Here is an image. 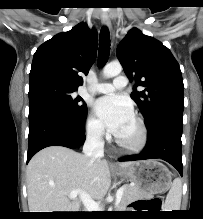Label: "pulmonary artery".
<instances>
[{"label": "pulmonary artery", "instance_id": "e3ab8cb5", "mask_svg": "<svg viewBox=\"0 0 203 219\" xmlns=\"http://www.w3.org/2000/svg\"><path fill=\"white\" fill-rule=\"evenodd\" d=\"M127 86V78L125 76H118L114 79L113 83H97L91 91L101 94H109L115 90L123 89Z\"/></svg>", "mask_w": 203, "mask_h": 219}]
</instances>
